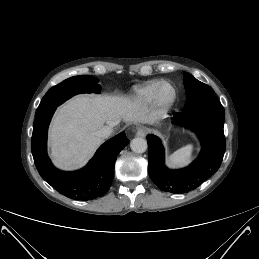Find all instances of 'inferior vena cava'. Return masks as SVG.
<instances>
[{"label": "inferior vena cava", "instance_id": "inferior-vena-cava-1", "mask_svg": "<svg viewBox=\"0 0 259 259\" xmlns=\"http://www.w3.org/2000/svg\"><path fill=\"white\" fill-rule=\"evenodd\" d=\"M113 132V125H106L100 130L96 131L94 134L102 139L108 138Z\"/></svg>", "mask_w": 259, "mask_h": 259}]
</instances>
